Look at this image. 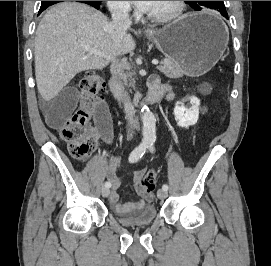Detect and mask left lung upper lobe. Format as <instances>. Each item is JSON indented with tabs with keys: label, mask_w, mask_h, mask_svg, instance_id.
Listing matches in <instances>:
<instances>
[{
	"label": "left lung upper lobe",
	"mask_w": 271,
	"mask_h": 266,
	"mask_svg": "<svg viewBox=\"0 0 271 266\" xmlns=\"http://www.w3.org/2000/svg\"><path fill=\"white\" fill-rule=\"evenodd\" d=\"M195 10L211 9L217 12L226 11L223 1H185Z\"/></svg>",
	"instance_id": "obj_1"
}]
</instances>
